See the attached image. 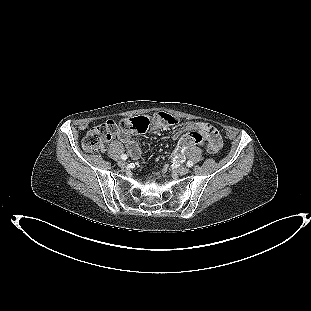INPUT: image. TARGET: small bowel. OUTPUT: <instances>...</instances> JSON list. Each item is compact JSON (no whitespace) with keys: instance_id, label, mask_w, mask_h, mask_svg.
I'll list each match as a JSON object with an SVG mask.
<instances>
[{"instance_id":"1","label":"small bowel","mask_w":311,"mask_h":311,"mask_svg":"<svg viewBox=\"0 0 311 311\" xmlns=\"http://www.w3.org/2000/svg\"><path fill=\"white\" fill-rule=\"evenodd\" d=\"M154 130V129H153ZM194 130H199L206 140V148L209 153L215 154L219 152L222 147V139L218 130L210 123L204 122H187L184 124L183 129L177 131L173 137L175 140H182V133L185 131L193 132ZM121 142L126 144L129 154L133 159L139 158L141 154V149L138 144L132 139L128 132H122L119 135ZM186 148L178 147L175 154L177 157H181Z\"/></svg>"}]
</instances>
